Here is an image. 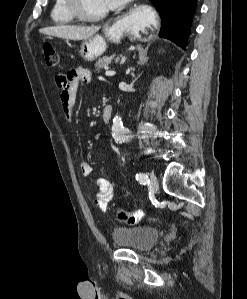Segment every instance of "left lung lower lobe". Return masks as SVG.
Segmentation results:
<instances>
[{"mask_svg":"<svg viewBox=\"0 0 247 299\" xmlns=\"http://www.w3.org/2000/svg\"><path fill=\"white\" fill-rule=\"evenodd\" d=\"M161 17L159 36L186 49L197 0H150Z\"/></svg>","mask_w":247,"mask_h":299,"instance_id":"1","label":"left lung lower lobe"}]
</instances>
